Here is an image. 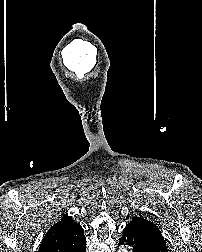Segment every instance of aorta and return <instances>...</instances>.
<instances>
[{
    "label": "aorta",
    "instance_id": "obj_1",
    "mask_svg": "<svg viewBox=\"0 0 202 252\" xmlns=\"http://www.w3.org/2000/svg\"><path fill=\"white\" fill-rule=\"evenodd\" d=\"M118 252H128V250H127V248L122 247V248H120V250Z\"/></svg>",
    "mask_w": 202,
    "mask_h": 252
}]
</instances>
